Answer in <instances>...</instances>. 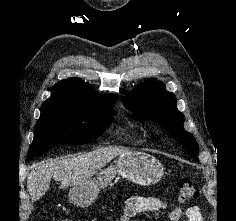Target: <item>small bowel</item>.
<instances>
[{"instance_id": "1", "label": "small bowel", "mask_w": 236, "mask_h": 221, "mask_svg": "<svg viewBox=\"0 0 236 221\" xmlns=\"http://www.w3.org/2000/svg\"><path fill=\"white\" fill-rule=\"evenodd\" d=\"M153 211H168L172 221H203L198 206H174L157 197L132 196L127 199L126 205L119 213L117 221H132L141 213Z\"/></svg>"}]
</instances>
